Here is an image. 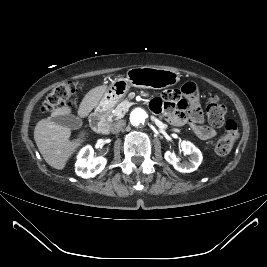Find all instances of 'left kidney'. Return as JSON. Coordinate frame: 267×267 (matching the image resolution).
<instances>
[{"mask_svg":"<svg viewBox=\"0 0 267 267\" xmlns=\"http://www.w3.org/2000/svg\"><path fill=\"white\" fill-rule=\"evenodd\" d=\"M180 146L184 154L190 155V162H181L180 159L177 158L176 155L170 151L165 152V160L168 163L172 164L174 169L179 172L190 173L195 171L202 161V154L200 150L189 141H182Z\"/></svg>","mask_w":267,"mask_h":267,"instance_id":"5707ae66","label":"left kidney"}]
</instances>
